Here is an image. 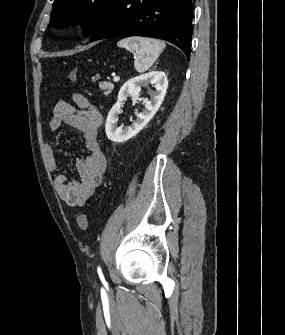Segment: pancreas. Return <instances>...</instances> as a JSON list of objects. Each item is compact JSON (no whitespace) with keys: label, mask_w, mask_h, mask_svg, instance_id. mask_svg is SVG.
I'll return each instance as SVG.
<instances>
[{"label":"pancreas","mask_w":285,"mask_h":335,"mask_svg":"<svg viewBox=\"0 0 285 335\" xmlns=\"http://www.w3.org/2000/svg\"><path fill=\"white\" fill-rule=\"evenodd\" d=\"M99 88L103 90L104 96H108V94H111L114 84H111V82H99Z\"/></svg>","instance_id":"pancreas-1"}]
</instances>
